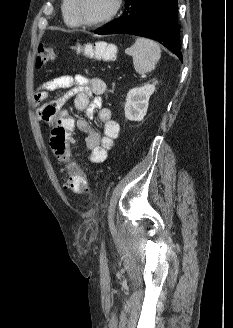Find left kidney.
<instances>
[{
	"label": "left kidney",
	"instance_id": "obj_1",
	"mask_svg": "<svg viewBox=\"0 0 233 328\" xmlns=\"http://www.w3.org/2000/svg\"><path fill=\"white\" fill-rule=\"evenodd\" d=\"M157 81L129 90L124 107L125 117L131 121H141L147 113L149 98L155 91Z\"/></svg>",
	"mask_w": 233,
	"mask_h": 328
}]
</instances>
